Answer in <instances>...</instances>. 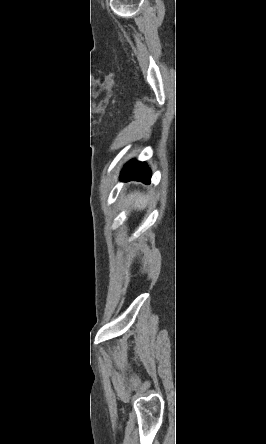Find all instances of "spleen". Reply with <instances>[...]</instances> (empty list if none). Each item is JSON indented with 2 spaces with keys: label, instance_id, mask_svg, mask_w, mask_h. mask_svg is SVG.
I'll list each match as a JSON object with an SVG mask.
<instances>
[{
  "label": "spleen",
  "instance_id": "1",
  "mask_svg": "<svg viewBox=\"0 0 266 444\" xmlns=\"http://www.w3.org/2000/svg\"><path fill=\"white\" fill-rule=\"evenodd\" d=\"M149 202L150 198L143 194L131 195L129 198V204L137 207L138 209H145Z\"/></svg>",
  "mask_w": 266,
  "mask_h": 444
}]
</instances>
